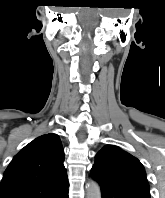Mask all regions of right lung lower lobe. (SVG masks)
Returning a JSON list of instances; mask_svg holds the SVG:
<instances>
[{
  "label": "right lung lower lobe",
  "mask_w": 165,
  "mask_h": 198,
  "mask_svg": "<svg viewBox=\"0 0 165 198\" xmlns=\"http://www.w3.org/2000/svg\"><path fill=\"white\" fill-rule=\"evenodd\" d=\"M59 198H68V190L59 196Z\"/></svg>",
  "instance_id": "right-lung-lower-lobe-1"
}]
</instances>
